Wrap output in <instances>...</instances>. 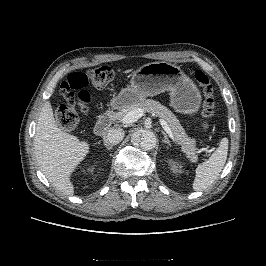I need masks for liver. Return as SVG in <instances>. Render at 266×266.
I'll return each instance as SVG.
<instances>
[{
    "label": "liver",
    "instance_id": "liver-1",
    "mask_svg": "<svg viewBox=\"0 0 266 266\" xmlns=\"http://www.w3.org/2000/svg\"><path fill=\"white\" fill-rule=\"evenodd\" d=\"M34 149L40 170L51 185L63 195H73L70 177L89 153L90 146L58 127L50 102L44 103L39 114Z\"/></svg>",
    "mask_w": 266,
    "mask_h": 266
}]
</instances>
